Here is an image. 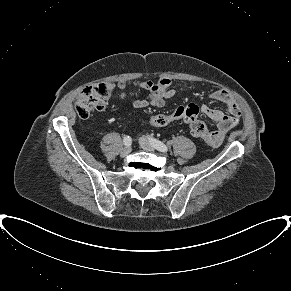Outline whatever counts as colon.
Listing matches in <instances>:
<instances>
[{"label": "colon", "instance_id": "obj_1", "mask_svg": "<svg viewBox=\"0 0 291 291\" xmlns=\"http://www.w3.org/2000/svg\"><path fill=\"white\" fill-rule=\"evenodd\" d=\"M126 84L124 83H101L86 87L77 97L75 110L80 118H87L94 111L102 110L114 98H124L127 95ZM199 109L190 104L179 106L168 114H155L150 117V124L155 127H164L173 122L184 121L190 126L194 136L201 138L208 148L217 146V141L206 126L198 118Z\"/></svg>", "mask_w": 291, "mask_h": 291}]
</instances>
